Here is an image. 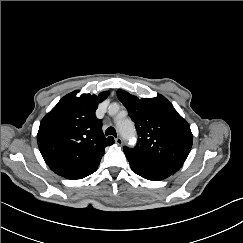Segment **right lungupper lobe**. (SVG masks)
<instances>
[{
    "label": "right lung upper lobe",
    "mask_w": 243,
    "mask_h": 243,
    "mask_svg": "<svg viewBox=\"0 0 243 243\" xmlns=\"http://www.w3.org/2000/svg\"><path fill=\"white\" fill-rule=\"evenodd\" d=\"M78 91L64 96L42 119L37 134L40 152L50 169L72 179L98 167L105 147L112 145L113 137L106 138L102 121L95 111L109 92L99 96Z\"/></svg>",
    "instance_id": "obj_1"
}]
</instances>
